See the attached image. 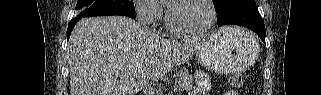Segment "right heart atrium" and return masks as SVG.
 <instances>
[{"label": "right heart atrium", "mask_w": 321, "mask_h": 95, "mask_svg": "<svg viewBox=\"0 0 321 95\" xmlns=\"http://www.w3.org/2000/svg\"><path fill=\"white\" fill-rule=\"evenodd\" d=\"M134 11L138 21L148 26L154 25L162 16L161 6L156 0H137Z\"/></svg>", "instance_id": "1"}]
</instances>
